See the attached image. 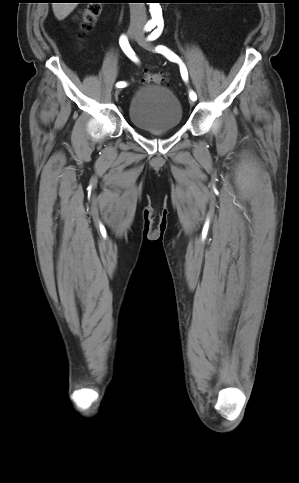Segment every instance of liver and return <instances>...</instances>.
Here are the masks:
<instances>
[{
  "mask_svg": "<svg viewBox=\"0 0 299 483\" xmlns=\"http://www.w3.org/2000/svg\"><path fill=\"white\" fill-rule=\"evenodd\" d=\"M77 3H52L55 17L58 20L65 19L76 7Z\"/></svg>",
  "mask_w": 299,
  "mask_h": 483,
  "instance_id": "6515ba94",
  "label": "liver"
}]
</instances>
